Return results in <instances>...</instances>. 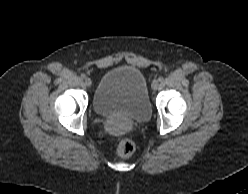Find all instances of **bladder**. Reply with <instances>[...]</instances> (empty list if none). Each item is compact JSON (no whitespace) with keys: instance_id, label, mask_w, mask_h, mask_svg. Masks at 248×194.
<instances>
[{"instance_id":"bladder-1","label":"bladder","mask_w":248,"mask_h":194,"mask_svg":"<svg viewBox=\"0 0 248 194\" xmlns=\"http://www.w3.org/2000/svg\"><path fill=\"white\" fill-rule=\"evenodd\" d=\"M93 108L100 116L119 115L133 122L148 120L151 103L144 74L134 66L109 70L95 90Z\"/></svg>"}]
</instances>
